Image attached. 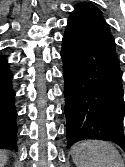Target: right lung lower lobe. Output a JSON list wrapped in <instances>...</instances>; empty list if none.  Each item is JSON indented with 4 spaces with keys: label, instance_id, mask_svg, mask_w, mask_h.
Listing matches in <instances>:
<instances>
[{
    "label": "right lung lower lobe",
    "instance_id": "98d812e1",
    "mask_svg": "<svg viewBox=\"0 0 125 167\" xmlns=\"http://www.w3.org/2000/svg\"><path fill=\"white\" fill-rule=\"evenodd\" d=\"M15 93L6 58L0 56V148L17 150Z\"/></svg>",
    "mask_w": 125,
    "mask_h": 167
}]
</instances>
